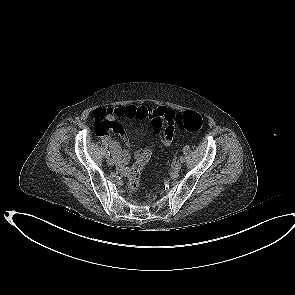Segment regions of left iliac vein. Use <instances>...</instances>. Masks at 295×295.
<instances>
[{
    "label": "left iliac vein",
    "instance_id": "1",
    "mask_svg": "<svg viewBox=\"0 0 295 295\" xmlns=\"http://www.w3.org/2000/svg\"><path fill=\"white\" fill-rule=\"evenodd\" d=\"M181 167H182V164L180 162H177L173 167V171L178 172L180 171Z\"/></svg>",
    "mask_w": 295,
    "mask_h": 295
}]
</instances>
